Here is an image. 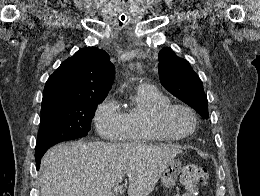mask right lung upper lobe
<instances>
[{
  "label": "right lung upper lobe",
  "mask_w": 260,
  "mask_h": 196,
  "mask_svg": "<svg viewBox=\"0 0 260 196\" xmlns=\"http://www.w3.org/2000/svg\"><path fill=\"white\" fill-rule=\"evenodd\" d=\"M114 65L104 50L88 47L77 51L48 78L42 106L85 98H105L114 81Z\"/></svg>",
  "instance_id": "1"
}]
</instances>
